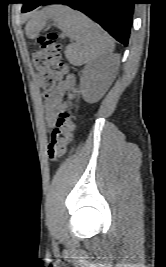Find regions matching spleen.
<instances>
[{"label": "spleen", "mask_w": 166, "mask_h": 267, "mask_svg": "<svg viewBox=\"0 0 166 267\" xmlns=\"http://www.w3.org/2000/svg\"><path fill=\"white\" fill-rule=\"evenodd\" d=\"M49 19L74 41L66 48V57L73 65L93 62L113 51L112 39L98 24L65 5H51L36 13L28 24V31H40Z\"/></svg>", "instance_id": "obj_1"}]
</instances>
